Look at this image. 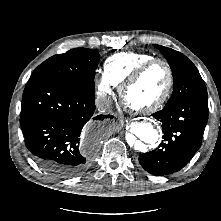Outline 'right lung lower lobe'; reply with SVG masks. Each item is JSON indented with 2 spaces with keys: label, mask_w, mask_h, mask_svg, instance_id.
Returning a JSON list of instances; mask_svg holds the SVG:
<instances>
[{
  "label": "right lung lower lobe",
  "mask_w": 221,
  "mask_h": 221,
  "mask_svg": "<svg viewBox=\"0 0 221 221\" xmlns=\"http://www.w3.org/2000/svg\"><path fill=\"white\" fill-rule=\"evenodd\" d=\"M112 117L96 115L94 94L37 76L25 87L20 125L37 164L53 176L69 178L83 173L93 157L80 144L84 125H92L93 135L98 134Z\"/></svg>",
  "instance_id": "98d812e1"
}]
</instances>
